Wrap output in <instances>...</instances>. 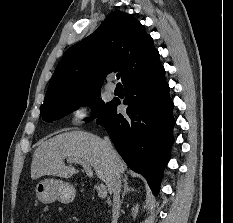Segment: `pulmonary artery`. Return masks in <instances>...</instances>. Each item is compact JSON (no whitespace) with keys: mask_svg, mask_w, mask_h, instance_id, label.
I'll return each instance as SVG.
<instances>
[{"mask_svg":"<svg viewBox=\"0 0 233 223\" xmlns=\"http://www.w3.org/2000/svg\"><path fill=\"white\" fill-rule=\"evenodd\" d=\"M109 80H112V77L109 78ZM107 90L111 93H113L115 91V85L112 82H109L107 84Z\"/></svg>","mask_w":233,"mask_h":223,"instance_id":"pulmonary-artery-1","label":"pulmonary artery"}]
</instances>
